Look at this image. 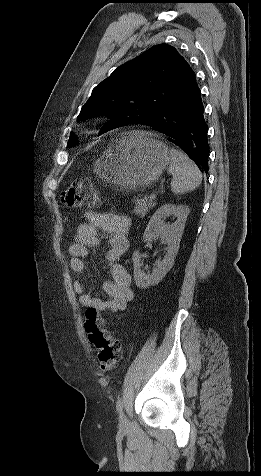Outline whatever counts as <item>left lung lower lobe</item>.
I'll return each mask as SVG.
<instances>
[{
  "instance_id": "obj_1",
  "label": "left lung lower lobe",
  "mask_w": 261,
  "mask_h": 476,
  "mask_svg": "<svg viewBox=\"0 0 261 476\" xmlns=\"http://www.w3.org/2000/svg\"><path fill=\"white\" fill-rule=\"evenodd\" d=\"M165 135L173 145L182 149L198 167L208 171V126L196 78L188 88L160 115L143 123Z\"/></svg>"
}]
</instances>
